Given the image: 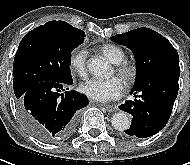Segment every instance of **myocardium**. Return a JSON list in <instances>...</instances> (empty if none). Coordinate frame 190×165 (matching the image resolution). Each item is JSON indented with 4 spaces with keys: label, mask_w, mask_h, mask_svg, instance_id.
I'll use <instances>...</instances> for the list:
<instances>
[{
    "label": "myocardium",
    "mask_w": 190,
    "mask_h": 165,
    "mask_svg": "<svg viewBox=\"0 0 190 165\" xmlns=\"http://www.w3.org/2000/svg\"><path fill=\"white\" fill-rule=\"evenodd\" d=\"M115 72L126 85H131L136 81L137 67L130 62L123 61L116 64Z\"/></svg>",
    "instance_id": "f54148a6"
}]
</instances>
